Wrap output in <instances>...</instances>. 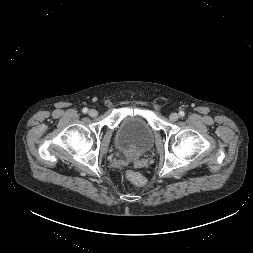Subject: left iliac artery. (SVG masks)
I'll return each mask as SVG.
<instances>
[{
	"mask_svg": "<svg viewBox=\"0 0 253 253\" xmlns=\"http://www.w3.org/2000/svg\"><path fill=\"white\" fill-rule=\"evenodd\" d=\"M179 115H180L181 117H183V116L185 115L184 111H180V112H179Z\"/></svg>",
	"mask_w": 253,
	"mask_h": 253,
	"instance_id": "left-iliac-artery-1",
	"label": "left iliac artery"
}]
</instances>
